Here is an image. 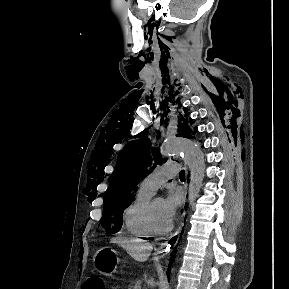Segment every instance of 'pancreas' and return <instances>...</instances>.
Wrapping results in <instances>:
<instances>
[{
    "mask_svg": "<svg viewBox=\"0 0 289 289\" xmlns=\"http://www.w3.org/2000/svg\"><path fill=\"white\" fill-rule=\"evenodd\" d=\"M142 281L138 280L134 284L129 286V289H141Z\"/></svg>",
    "mask_w": 289,
    "mask_h": 289,
    "instance_id": "cf45deb5",
    "label": "pancreas"
}]
</instances>
